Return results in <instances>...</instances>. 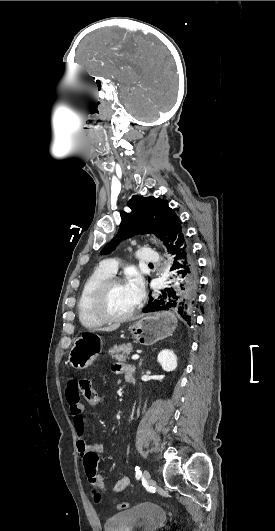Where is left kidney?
Wrapping results in <instances>:
<instances>
[{"mask_svg": "<svg viewBox=\"0 0 275 531\" xmlns=\"http://www.w3.org/2000/svg\"><path fill=\"white\" fill-rule=\"evenodd\" d=\"M157 361L167 373H169V371H175L177 367V357L174 355V351H170V349H163V351H160Z\"/></svg>", "mask_w": 275, "mask_h": 531, "instance_id": "5707ae66", "label": "left kidney"}]
</instances>
